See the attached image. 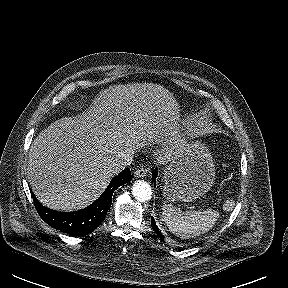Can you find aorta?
<instances>
[{
	"label": "aorta",
	"instance_id": "762f6f07",
	"mask_svg": "<svg viewBox=\"0 0 288 288\" xmlns=\"http://www.w3.org/2000/svg\"><path fill=\"white\" fill-rule=\"evenodd\" d=\"M132 195L140 202H145L151 199V186L144 180H137L132 185Z\"/></svg>",
	"mask_w": 288,
	"mask_h": 288
}]
</instances>
